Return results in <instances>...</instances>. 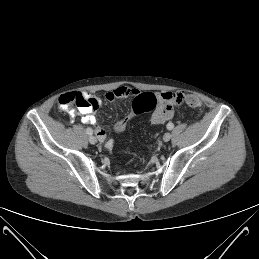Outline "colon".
Masks as SVG:
<instances>
[{
    "label": "colon",
    "mask_w": 259,
    "mask_h": 259,
    "mask_svg": "<svg viewBox=\"0 0 259 259\" xmlns=\"http://www.w3.org/2000/svg\"><path fill=\"white\" fill-rule=\"evenodd\" d=\"M185 101L186 104L192 108H196L198 110L202 109V102L196 96L189 95ZM157 102L158 98L152 93L137 94L132 103V114H129L127 117L120 120L115 125V130L117 132H122L127 127L128 123L134 115L153 110L156 107Z\"/></svg>",
    "instance_id": "colon-1"
}]
</instances>
